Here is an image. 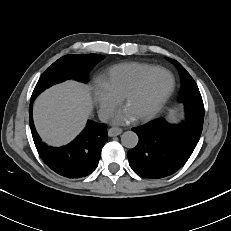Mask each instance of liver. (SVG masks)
<instances>
[{
  "label": "liver",
  "instance_id": "liver-1",
  "mask_svg": "<svg viewBox=\"0 0 231 231\" xmlns=\"http://www.w3.org/2000/svg\"><path fill=\"white\" fill-rule=\"evenodd\" d=\"M92 112L88 87L67 81L43 92L34 103V123L49 145L61 146L73 140Z\"/></svg>",
  "mask_w": 231,
  "mask_h": 231
}]
</instances>
